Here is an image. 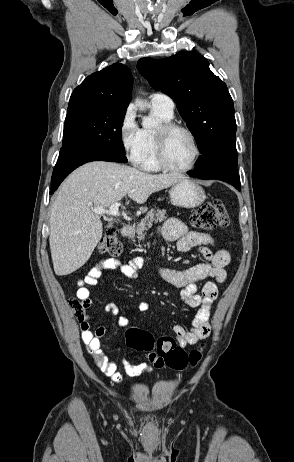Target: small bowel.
<instances>
[{
	"label": "small bowel",
	"instance_id": "1",
	"mask_svg": "<svg viewBox=\"0 0 294 462\" xmlns=\"http://www.w3.org/2000/svg\"><path fill=\"white\" fill-rule=\"evenodd\" d=\"M163 237L171 242H176L177 250L187 252L194 247H198L205 261L198 263L186 270H175L162 266H155L158 276L165 282L174 287L181 288L182 301L192 308H197V312L192 320L191 327L185 328L182 325H175L173 332L181 348L187 345L196 344L205 339L211 332L209 322L210 310L213 302L218 295V284L226 279L225 267L229 263V253L224 249L216 248L214 239L207 233L191 232L187 226L177 218L168 219L161 228ZM208 247L214 248L212 251ZM143 257H135L123 264L119 260L109 258L102 260L93 266L88 274L78 280L76 297L79 299L85 309L92 304L89 287L98 283L102 272L105 270L119 269L123 275L128 278H136L138 271L144 265ZM212 278L214 281H207L199 292L198 281ZM149 304L145 301L139 303V310L146 312ZM105 310L117 317V323L120 327H127L129 319L119 316L118 307L109 303ZM81 339L86 345L89 355L92 357L95 365L115 383H121L123 376L118 371L117 363L111 359L102 349V339L106 333L103 326L95 330L90 328L87 318H83L80 324ZM124 372L130 377L135 378L143 373H150L153 367L143 361L132 363L129 359L123 358L121 361ZM157 368V367H156Z\"/></svg>",
	"mask_w": 294,
	"mask_h": 462
}]
</instances>
